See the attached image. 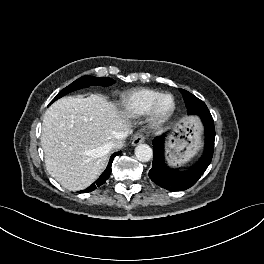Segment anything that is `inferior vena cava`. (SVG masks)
<instances>
[{
  "instance_id": "1",
  "label": "inferior vena cava",
  "mask_w": 264,
  "mask_h": 264,
  "mask_svg": "<svg viewBox=\"0 0 264 264\" xmlns=\"http://www.w3.org/2000/svg\"><path fill=\"white\" fill-rule=\"evenodd\" d=\"M128 135V133H122L118 138L110 141L109 146L111 149H120L124 146L123 139Z\"/></svg>"
}]
</instances>
